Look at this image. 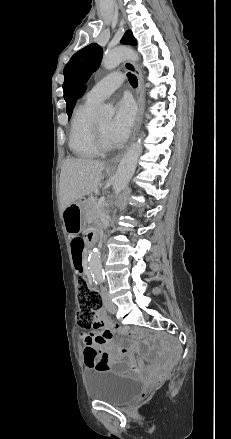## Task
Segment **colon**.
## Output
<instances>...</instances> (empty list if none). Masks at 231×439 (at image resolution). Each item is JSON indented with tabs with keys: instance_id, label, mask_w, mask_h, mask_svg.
I'll list each match as a JSON object with an SVG mask.
<instances>
[{
	"instance_id": "1",
	"label": "colon",
	"mask_w": 231,
	"mask_h": 439,
	"mask_svg": "<svg viewBox=\"0 0 231 439\" xmlns=\"http://www.w3.org/2000/svg\"><path fill=\"white\" fill-rule=\"evenodd\" d=\"M79 242V241H76ZM76 287L79 298V324L84 328H91L95 322L96 313L100 309V298L97 292L90 286L88 279L84 275H79L76 279ZM117 330L123 334H136L140 337L147 338V334L141 330L128 327L120 326ZM166 345V344H165ZM87 362L92 366V354H87ZM107 363L99 361L95 365V369H105ZM168 376L167 371H163L158 380H165Z\"/></svg>"
}]
</instances>
